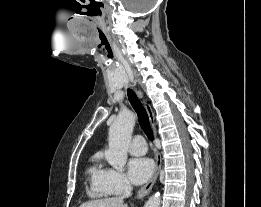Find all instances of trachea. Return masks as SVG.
Wrapping results in <instances>:
<instances>
[{"mask_svg": "<svg viewBox=\"0 0 261 207\" xmlns=\"http://www.w3.org/2000/svg\"><path fill=\"white\" fill-rule=\"evenodd\" d=\"M127 94H128V100L130 101L132 107L134 108V110L136 111V113L138 115V118H139L138 120H139L141 129L144 131V133L149 138V140L153 141V138H154L153 131L150 126L149 117L146 112V109L144 108V106L142 105V103L140 102V100L138 99V97L136 96V94L134 93L133 90L128 89Z\"/></svg>", "mask_w": 261, "mask_h": 207, "instance_id": "3493384b", "label": "trachea"}]
</instances>
